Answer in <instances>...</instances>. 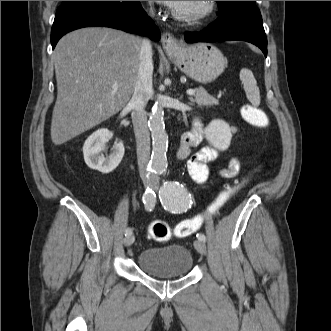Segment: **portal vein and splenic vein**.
Instances as JSON below:
<instances>
[{"instance_id": "portal-vein-and-splenic-vein-1", "label": "portal vein and splenic vein", "mask_w": 331, "mask_h": 331, "mask_svg": "<svg viewBox=\"0 0 331 331\" xmlns=\"http://www.w3.org/2000/svg\"><path fill=\"white\" fill-rule=\"evenodd\" d=\"M112 88H113L114 90H116V89L118 88V84H113ZM195 93H196V92H195V90H193V89H189V90H187V94L190 95V96L195 95Z\"/></svg>"}]
</instances>
